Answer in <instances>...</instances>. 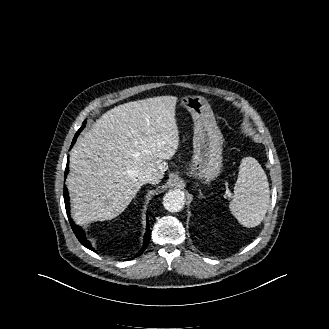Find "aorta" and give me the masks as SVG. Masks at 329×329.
Listing matches in <instances>:
<instances>
[{
	"mask_svg": "<svg viewBox=\"0 0 329 329\" xmlns=\"http://www.w3.org/2000/svg\"><path fill=\"white\" fill-rule=\"evenodd\" d=\"M184 204L185 196L179 189L169 191L163 197V205L169 212H179L183 208Z\"/></svg>",
	"mask_w": 329,
	"mask_h": 329,
	"instance_id": "1",
	"label": "aorta"
}]
</instances>
